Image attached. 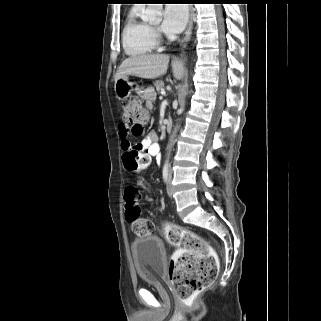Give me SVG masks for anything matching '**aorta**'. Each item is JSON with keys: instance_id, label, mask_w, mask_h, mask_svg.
<instances>
[{"instance_id": "obj_1", "label": "aorta", "mask_w": 321, "mask_h": 321, "mask_svg": "<svg viewBox=\"0 0 321 321\" xmlns=\"http://www.w3.org/2000/svg\"><path fill=\"white\" fill-rule=\"evenodd\" d=\"M162 9H163L162 4H148L142 18L144 20H149V21H158L162 17ZM178 128H179V126L176 125V127L174 128V131L170 137L168 159L170 156V151H171L172 145L174 143V138L176 136ZM168 159H167V162H168Z\"/></svg>"}]
</instances>
